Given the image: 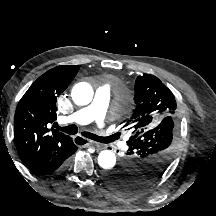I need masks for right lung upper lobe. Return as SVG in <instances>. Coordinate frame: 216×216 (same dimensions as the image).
<instances>
[{"mask_svg":"<svg viewBox=\"0 0 216 216\" xmlns=\"http://www.w3.org/2000/svg\"><path fill=\"white\" fill-rule=\"evenodd\" d=\"M79 65H60L40 76L17 105L14 138L18 153L27 168H32L72 139L47 128L56 119V99L76 76Z\"/></svg>","mask_w":216,"mask_h":216,"instance_id":"cb5924a9","label":"right lung upper lobe"}]
</instances>
